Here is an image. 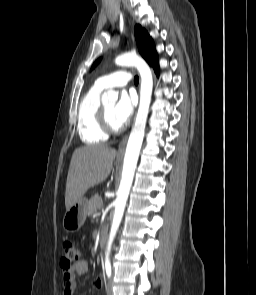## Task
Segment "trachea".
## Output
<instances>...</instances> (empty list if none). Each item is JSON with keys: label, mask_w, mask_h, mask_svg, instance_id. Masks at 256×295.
Returning a JSON list of instances; mask_svg holds the SVG:
<instances>
[{"label": "trachea", "mask_w": 256, "mask_h": 295, "mask_svg": "<svg viewBox=\"0 0 256 295\" xmlns=\"http://www.w3.org/2000/svg\"><path fill=\"white\" fill-rule=\"evenodd\" d=\"M134 83H135V84H138V83H139V77H138V76H135V77H134Z\"/></svg>", "instance_id": "trachea-1"}]
</instances>
